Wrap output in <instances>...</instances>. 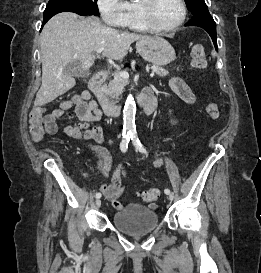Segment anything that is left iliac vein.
<instances>
[{"label": "left iliac vein", "mask_w": 261, "mask_h": 273, "mask_svg": "<svg viewBox=\"0 0 261 273\" xmlns=\"http://www.w3.org/2000/svg\"><path fill=\"white\" fill-rule=\"evenodd\" d=\"M168 198H169L170 200H173V199H174V194H173V193H169V194H168Z\"/></svg>", "instance_id": "obj_1"}]
</instances>
